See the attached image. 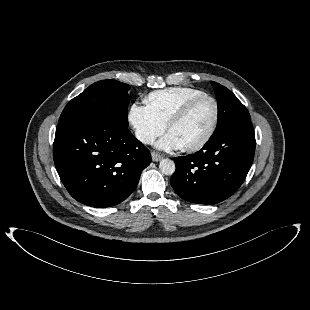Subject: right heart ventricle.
Masks as SVG:
<instances>
[{
  "label": "right heart ventricle",
  "mask_w": 310,
  "mask_h": 310,
  "mask_svg": "<svg viewBox=\"0 0 310 310\" xmlns=\"http://www.w3.org/2000/svg\"><path fill=\"white\" fill-rule=\"evenodd\" d=\"M201 90L189 87H172L149 93L144 101L150 112L165 125L188 100L204 95Z\"/></svg>",
  "instance_id": "right-heart-ventricle-1"
}]
</instances>
